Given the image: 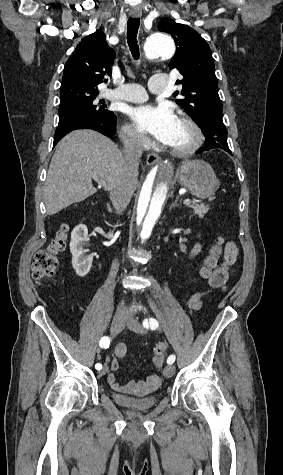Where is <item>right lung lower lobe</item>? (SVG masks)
I'll return each instance as SVG.
<instances>
[{
  "label": "right lung lower lobe",
  "instance_id": "98d812e1",
  "mask_svg": "<svg viewBox=\"0 0 283 475\" xmlns=\"http://www.w3.org/2000/svg\"><path fill=\"white\" fill-rule=\"evenodd\" d=\"M77 129H92L105 136L112 137L116 132V116L109 119H97L82 111H73L59 115L53 147L69 132Z\"/></svg>",
  "mask_w": 283,
  "mask_h": 475
}]
</instances>
